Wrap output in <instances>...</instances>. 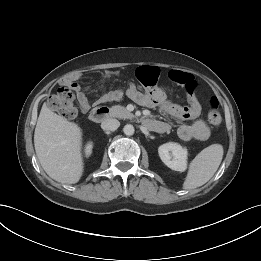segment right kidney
<instances>
[{"label": "right kidney", "instance_id": "right-kidney-1", "mask_svg": "<svg viewBox=\"0 0 261 261\" xmlns=\"http://www.w3.org/2000/svg\"><path fill=\"white\" fill-rule=\"evenodd\" d=\"M91 152H92V144L89 143L86 145V149H85L86 156H89Z\"/></svg>", "mask_w": 261, "mask_h": 261}]
</instances>
